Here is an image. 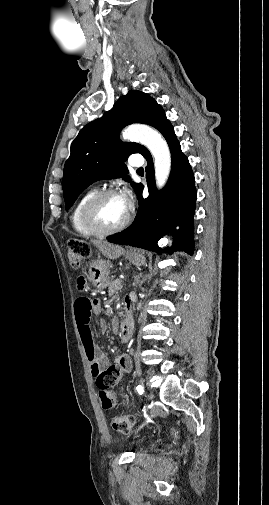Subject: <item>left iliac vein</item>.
<instances>
[{
	"label": "left iliac vein",
	"mask_w": 269,
	"mask_h": 505,
	"mask_svg": "<svg viewBox=\"0 0 269 505\" xmlns=\"http://www.w3.org/2000/svg\"><path fill=\"white\" fill-rule=\"evenodd\" d=\"M160 412H161V409L159 407L152 408L151 412H150L151 418L156 417Z\"/></svg>",
	"instance_id": "1"
}]
</instances>
